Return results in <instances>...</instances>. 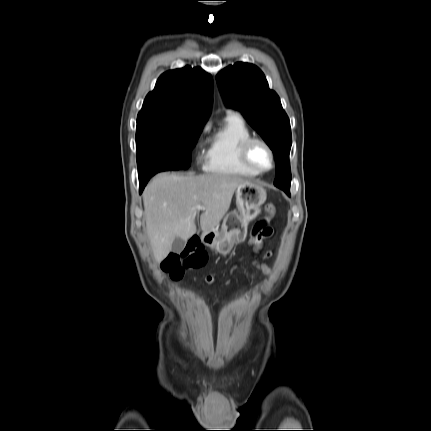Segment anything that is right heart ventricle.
Returning <instances> with one entry per match:
<instances>
[{
	"instance_id": "1",
	"label": "right heart ventricle",
	"mask_w": 431,
	"mask_h": 431,
	"mask_svg": "<svg viewBox=\"0 0 431 431\" xmlns=\"http://www.w3.org/2000/svg\"><path fill=\"white\" fill-rule=\"evenodd\" d=\"M252 137L244 120L228 114L222 127L210 138L204 169L210 173L254 177L258 173L246 167L240 159L242 143Z\"/></svg>"
}]
</instances>
